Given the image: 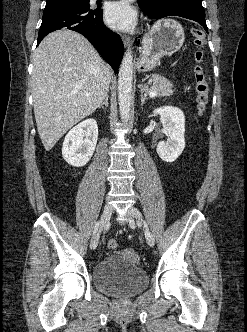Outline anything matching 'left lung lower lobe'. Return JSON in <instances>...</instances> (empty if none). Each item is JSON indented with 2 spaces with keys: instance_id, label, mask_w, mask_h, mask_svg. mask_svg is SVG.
I'll use <instances>...</instances> for the list:
<instances>
[{
  "instance_id": "0a47b994",
  "label": "left lung lower lobe",
  "mask_w": 247,
  "mask_h": 332,
  "mask_svg": "<svg viewBox=\"0 0 247 332\" xmlns=\"http://www.w3.org/2000/svg\"><path fill=\"white\" fill-rule=\"evenodd\" d=\"M144 12L151 19H161L167 16H179L186 18L199 23L205 29V31L208 32L205 20V11L204 8L201 7L178 5L165 8L159 12Z\"/></svg>"
}]
</instances>
